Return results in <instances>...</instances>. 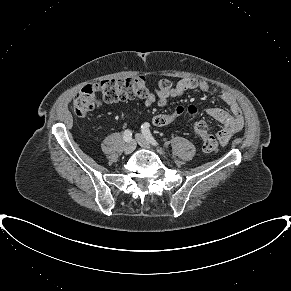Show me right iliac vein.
I'll list each match as a JSON object with an SVG mask.
<instances>
[{
	"mask_svg": "<svg viewBox=\"0 0 291 291\" xmlns=\"http://www.w3.org/2000/svg\"><path fill=\"white\" fill-rule=\"evenodd\" d=\"M135 148H136V143L134 140H131L125 145L124 152L126 154H130L135 150Z\"/></svg>",
	"mask_w": 291,
	"mask_h": 291,
	"instance_id": "obj_1",
	"label": "right iliac vein"
}]
</instances>
